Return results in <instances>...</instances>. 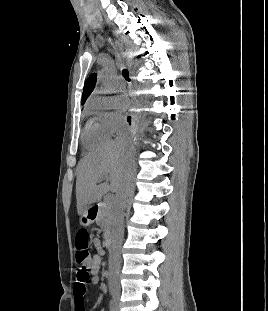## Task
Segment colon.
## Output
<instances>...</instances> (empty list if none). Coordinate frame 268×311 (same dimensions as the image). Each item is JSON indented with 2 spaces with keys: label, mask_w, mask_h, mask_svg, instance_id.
Segmentation results:
<instances>
[{
  "label": "colon",
  "mask_w": 268,
  "mask_h": 311,
  "mask_svg": "<svg viewBox=\"0 0 268 311\" xmlns=\"http://www.w3.org/2000/svg\"><path fill=\"white\" fill-rule=\"evenodd\" d=\"M89 234L86 229H82L76 236V263L78 265L76 270V278L79 283V291L86 292L85 282L90 278L89 264L91 255L89 252Z\"/></svg>",
  "instance_id": "colon-1"
}]
</instances>
